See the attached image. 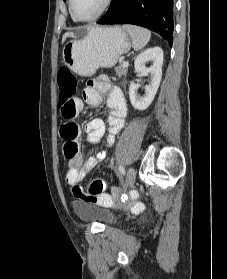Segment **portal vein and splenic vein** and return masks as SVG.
<instances>
[{
	"mask_svg": "<svg viewBox=\"0 0 227 279\" xmlns=\"http://www.w3.org/2000/svg\"><path fill=\"white\" fill-rule=\"evenodd\" d=\"M124 67H128L129 63L127 61H123V64H122Z\"/></svg>",
	"mask_w": 227,
	"mask_h": 279,
	"instance_id": "obj_1",
	"label": "portal vein and splenic vein"
}]
</instances>
